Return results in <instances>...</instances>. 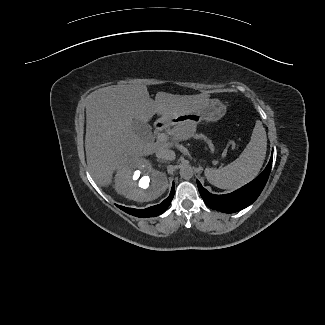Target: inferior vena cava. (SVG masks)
Returning <instances> with one entry per match:
<instances>
[{
	"label": "inferior vena cava",
	"mask_w": 325,
	"mask_h": 325,
	"mask_svg": "<svg viewBox=\"0 0 325 325\" xmlns=\"http://www.w3.org/2000/svg\"><path fill=\"white\" fill-rule=\"evenodd\" d=\"M156 156L163 160H174L175 152L166 148H160L156 151Z\"/></svg>",
	"instance_id": "1"
}]
</instances>
